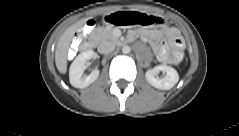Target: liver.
I'll list each match as a JSON object with an SVG mask.
<instances>
[{
    "mask_svg": "<svg viewBox=\"0 0 239 136\" xmlns=\"http://www.w3.org/2000/svg\"><path fill=\"white\" fill-rule=\"evenodd\" d=\"M89 18H83L71 25L61 35L55 52V63L58 71L65 74L67 71V52L74 34L85 24Z\"/></svg>",
    "mask_w": 239,
    "mask_h": 136,
    "instance_id": "liver-1",
    "label": "liver"
}]
</instances>
